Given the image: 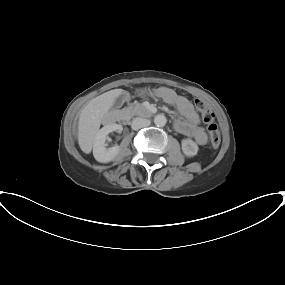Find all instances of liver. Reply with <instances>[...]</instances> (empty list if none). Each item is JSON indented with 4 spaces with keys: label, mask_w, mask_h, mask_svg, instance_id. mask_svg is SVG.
<instances>
[{
    "label": "liver",
    "mask_w": 285,
    "mask_h": 285,
    "mask_svg": "<svg viewBox=\"0 0 285 285\" xmlns=\"http://www.w3.org/2000/svg\"><path fill=\"white\" fill-rule=\"evenodd\" d=\"M118 95V89L103 93L92 99L81 111L78 121V144L84 153L91 152L100 125Z\"/></svg>",
    "instance_id": "liver-1"
}]
</instances>
